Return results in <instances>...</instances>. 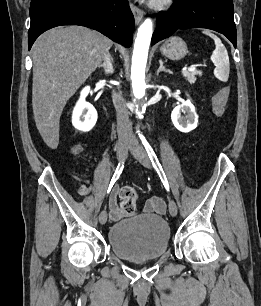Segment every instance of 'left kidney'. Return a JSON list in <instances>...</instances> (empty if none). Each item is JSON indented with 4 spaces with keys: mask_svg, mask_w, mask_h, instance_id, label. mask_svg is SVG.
<instances>
[{
    "mask_svg": "<svg viewBox=\"0 0 261 306\" xmlns=\"http://www.w3.org/2000/svg\"><path fill=\"white\" fill-rule=\"evenodd\" d=\"M181 112H186V117L181 115ZM171 119L174 126L181 132L188 133L197 127L198 115L194 105L187 100L180 106L173 109Z\"/></svg>",
    "mask_w": 261,
    "mask_h": 306,
    "instance_id": "left-kidney-1",
    "label": "left kidney"
}]
</instances>
